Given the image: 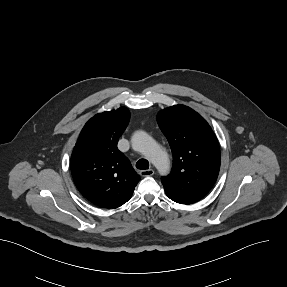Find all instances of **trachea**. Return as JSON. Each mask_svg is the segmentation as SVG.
Masks as SVG:
<instances>
[{
	"mask_svg": "<svg viewBox=\"0 0 287 287\" xmlns=\"http://www.w3.org/2000/svg\"><path fill=\"white\" fill-rule=\"evenodd\" d=\"M136 168L140 170H147L149 168V162L146 159H140L136 163Z\"/></svg>",
	"mask_w": 287,
	"mask_h": 287,
	"instance_id": "obj_1",
	"label": "trachea"
}]
</instances>
